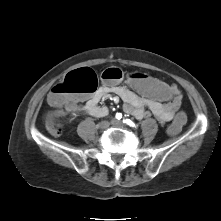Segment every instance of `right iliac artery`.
<instances>
[{"mask_svg":"<svg viewBox=\"0 0 221 221\" xmlns=\"http://www.w3.org/2000/svg\"><path fill=\"white\" fill-rule=\"evenodd\" d=\"M115 117H116V119L120 120L122 118V114L121 113H117Z\"/></svg>","mask_w":221,"mask_h":221,"instance_id":"right-iliac-artery-1","label":"right iliac artery"}]
</instances>
